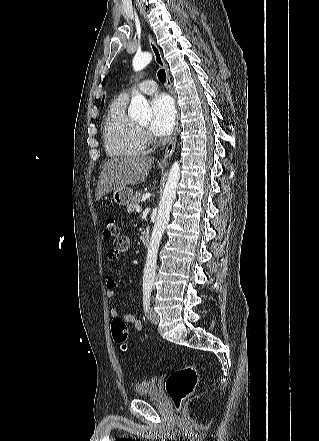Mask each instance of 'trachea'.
Instances as JSON below:
<instances>
[{"mask_svg":"<svg viewBox=\"0 0 319 441\" xmlns=\"http://www.w3.org/2000/svg\"><path fill=\"white\" fill-rule=\"evenodd\" d=\"M158 79L160 82L164 83L166 81V73L165 70L161 69L158 71Z\"/></svg>","mask_w":319,"mask_h":441,"instance_id":"obj_1","label":"trachea"}]
</instances>
